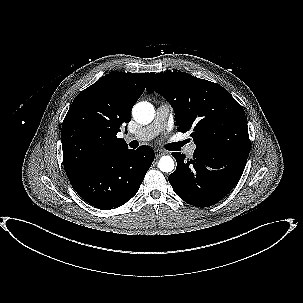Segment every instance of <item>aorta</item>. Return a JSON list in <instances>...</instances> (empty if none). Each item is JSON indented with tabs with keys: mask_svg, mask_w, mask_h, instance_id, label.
Masks as SVG:
<instances>
[{
	"mask_svg": "<svg viewBox=\"0 0 303 303\" xmlns=\"http://www.w3.org/2000/svg\"><path fill=\"white\" fill-rule=\"evenodd\" d=\"M133 118L140 124H149L154 119L155 110L151 103H137L132 110ZM162 172H171L174 169V160L170 156H162L158 162Z\"/></svg>",
	"mask_w": 303,
	"mask_h": 303,
	"instance_id": "1",
	"label": "aorta"
}]
</instances>
